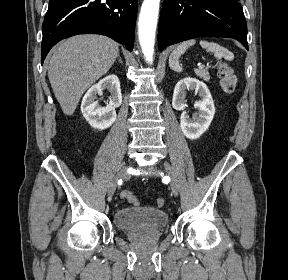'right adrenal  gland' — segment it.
<instances>
[{
	"instance_id": "1",
	"label": "right adrenal gland",
	"mask_w": 288,
	"mask_h": 280,
	"mask_svg": "<svg viewBox=\"0 0 288 280\" xmlns=\"http://www.w3.org/2000/svg\"><path fill=\"white\" fill-rule=\"evenodd\" d=\"M118 61L123 64L122 58L118 55Z\"/></svg>"
}]
</instances>
